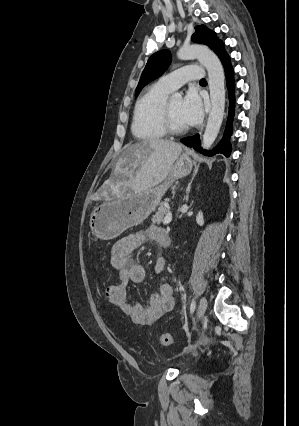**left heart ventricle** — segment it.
I'll return each mask as SVG.
<instances>
[{"label": "left heart ventricle", "mask_w": 299, "mask_h": 426, "mask_svg": "<svg viewBox=\"0 0 299 426\" xmlns=\"http://www.w3.org/2000/svg\"><path fill=\"white\" fill-rule=\"evenodd\" d=\"M170 103V111L173 122L177 126H186L182 117H181V103L182 101L179 99H173L169 101Z\"/></svg>", "instance_id": "left-heart-ventricle-1"}]
</instances>
